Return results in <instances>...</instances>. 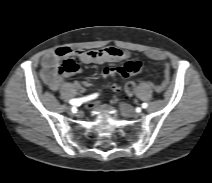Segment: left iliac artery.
<instances>
[{"label": "left iliac artery", "mask_w": 212, "mask_h": 183, "mask_svg": "<svg viewBox=\"0 0 212 183\" xmlns=\"http://www.w3.org/2000/svg\"><path fill=\"white\" fill-rule=\"evenodd\" d=\"M148 107V104L147 103H143L142 104V108H147Z\"/></svg>", "instance_id": "1"}]
</instances>
